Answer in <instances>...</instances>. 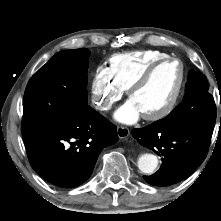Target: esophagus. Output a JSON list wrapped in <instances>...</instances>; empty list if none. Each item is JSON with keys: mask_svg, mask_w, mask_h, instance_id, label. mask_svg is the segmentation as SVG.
Wrapping results in <instances>:
<instances>
[{"mask_svg": "<svg viewBox=\"0 0 221 221\" xmlns=\"http://www.w3.org/2000/svg\"><path fill=\"white\" fill-rule=\"evenodd\" d=\"M117 134L120 139H124L129 136L130 130L127 127L119 126L117 128Z\"/></svg>", "mask_w": 221, "mask_h": 221, "instance_id": "34e87169", "label": "esophagus"}]
</instances>
